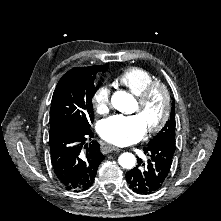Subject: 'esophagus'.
Listing matches in <instances>:
<instances>
[{
  "instance_id": "34e87169",
  "label": "esophagus",
  "mask_w": 221,
  "mask_h": 221,
  "mask_svg": "<svg viewBox=\"0 0 221 221\" xmlns=\"http://www.w3.org/2000/svg\"><path fill=\"white\" fill-rule=\"evenodd\" d=\"M101 148H102V152L104 154L112 152V151L119 152L121 150L120 148H118L116 146H113V145H110V144H103Z\"/></svg>"
}]
</instances>
